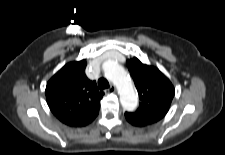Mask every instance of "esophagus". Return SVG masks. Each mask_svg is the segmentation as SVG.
<instances>
[{
	"label": "esophagus",
	"mask_w": 225,
	"mask_h": 155,
	"mask_svg": "<svg viewBox=\"0 0 225 155\" xmlns=\"http://www.w3.org/2000/svg\"><path fill=\"white\" fill-rule=\"evenodd\" d=\"M106 91L109 92V93H114V92H116V87L114 85H111L109 87V89H107Z\"/></svg>",
	"instance_id": "obj_1"
}]
</instances>
